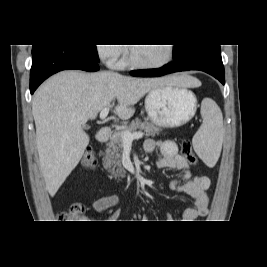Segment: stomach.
I'll return each instance as SVG.
<instances>
[{"label":"stomach","instance_id":"1","mask_svg":"<svg viewBox=\"0 0 267 267\" xmlns=\"http://www.w3.org/2000/svg\"><path fill=\"white\" fill-rule=\"evenodd\" d=\"M145 109L153 124L167 128L179 127L194 116L197 99L187 87L163 86L148 92Z\"/></svg>","mask_w":267,"mask_h":267}]
</instances>
